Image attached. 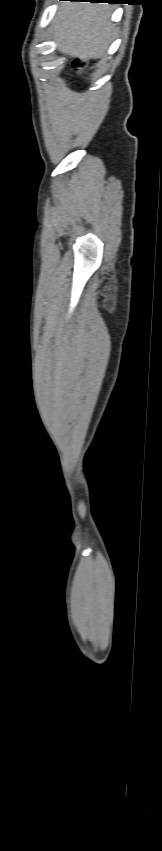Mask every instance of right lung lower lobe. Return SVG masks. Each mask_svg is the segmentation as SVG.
Instances as JSON below:
<instances>
[{
    "label": "right lung lower lobe",
    "mask_w": 162,
    "mask_h": 851,
    "mask_svg": "<svg viewBox=\"0 0 162 851\" xmlns=\"http://www.w3.org/2000/svg\"><path fill=\"white\" fill-rule=\"evenodd\" d=\"M70 1H89V2H98V3L107 2L109 4L120 3V0H70Z\"/></svg>",
    "instance_id": "98d812e1"
}]
</instances>
